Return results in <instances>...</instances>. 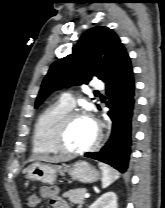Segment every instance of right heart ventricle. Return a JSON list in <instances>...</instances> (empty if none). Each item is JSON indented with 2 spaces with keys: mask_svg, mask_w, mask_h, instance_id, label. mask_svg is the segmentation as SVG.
Masks as SVG:
<instances>
[{
  "mask_svg": "<svg viewBox=\"0 0 165 208\" xmlns=\"http://www.w3.org/2000/svg\"><path fill=\"white\" fill-rule=\"evenodd\" d=\"M69 110H71L70 107L59 101L41 112L33 129L32 149L34 153L42 155L58 153L51 141L52 131L58 120Z\"/></svg>",
  "mask_w": 165,
  "mask_h": 208,
  "instance_id": "e07e8e85",
  "label": "right heart ventricle"
}]
</instances>
